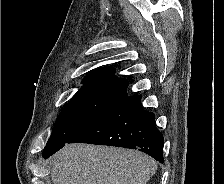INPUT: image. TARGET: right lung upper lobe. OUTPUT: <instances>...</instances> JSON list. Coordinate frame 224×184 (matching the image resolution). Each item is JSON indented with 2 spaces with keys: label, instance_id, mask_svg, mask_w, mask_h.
Instances as JSON below:
<instances>
[{
  "label": "right lung upper lobe",
  "instance_id": "right-lung-upper-lobe-1",
  "mask_svg": "<svg viewBox=\"0 0 224 184\" xmlns=\"http://www.w3.org/2000/svg\"><path fill=\"white\" fill-rule=\"evenodd\" d=\"M82 83L94 84V83H106L116 84L120 86H128V82L125 79L118 78L115 75V70L112 68L97 69L84 77Z\"/></svg>",
  "mask_w": 224,
  "mask_h": 184
}]
</instances>
